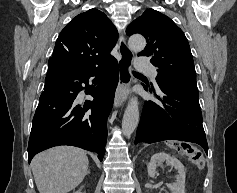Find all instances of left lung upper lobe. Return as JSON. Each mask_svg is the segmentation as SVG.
Here are the masks:
<instances>
[{"label": "left lung upper lobe", "instance_id": "left-lung-upper-lobe-1", "mask_svg": "<svg viewBox=\"0 0 237 193\" xmlns=\"http://www.w3.org/2000/svg\"><path fill=\"white\" fill-rule=\"evenodd\" d=\"M127 35H144L147 46L139 56L150 57L157 67L159 87L197 88L190 46L183 31L166 15L147 9L126 29Z\"/></svg>", "mask_w": 237, "mask_h": 193}]
</instances>
